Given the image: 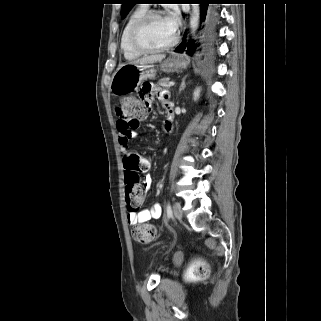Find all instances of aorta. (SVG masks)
Listing matches in <instances>:
<instances>
[{
    "label": "aorta",
    "instance_id": "obj_1",
    "mask_svg": "<svg viewBox=\"0 0 321 321\" xmlns=\"http://www.w3.org/2000/svg\"><path fill=\"white\" fill-rule=\"evenodd\" d=\"M200 21V7L199 4H192V14L190 17V27L192 29V33L195 34V32L198 29Z\"/></svg>",
    "mask_w": 321,
    "mask_h": 321
}]
</instances>
